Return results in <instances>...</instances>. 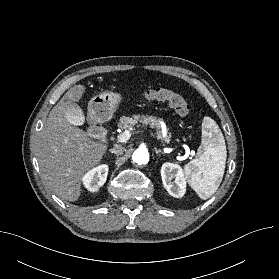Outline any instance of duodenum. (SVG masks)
Instances as JSON below:
<instances>
[{
	"label": "duodenum",
	"instance_id": "410a0bca",
	"mask_svg": "<svg viewBox=\"0 0 279 279\" xmlns=\"http://www.w3.org/2000/svg\"><path fill=\"white\" fill-rule=\"evenodd\" d=\"M98 134H99V136H100L102 139H106V138H107L106 132H105L104 130H102V129H99V130H98Z\"/></svg>",
	"mask_w": 279,
	"mask_h": 279
}]
</instances>
